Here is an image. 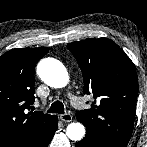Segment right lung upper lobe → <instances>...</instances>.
I'll return each instance as SVG.
<instances>
[{"instance_id": "1", "label": "right lung upper lobe", "mask_w": 147, "mask_h": 147, "mask_svg": "<svg viewBox=\"0 0 147 147\" xmlns=\"http://www.w3.org/2000/svg\"><path fill=\"white\" fill-rule=\"evenodd\" d=\"M48 48L12 49L0 57V147H22L46 133L55 115L30 111L35 64Z\"/></svg>"}]
</instances>
